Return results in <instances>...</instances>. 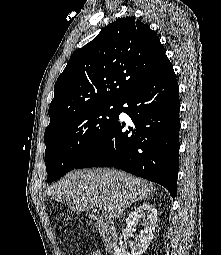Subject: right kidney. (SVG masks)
<instances>
[{
  "label": "right kidney",
  "instance_id": "obj_1",
  "mask_svg": "<svg viewBox=\"0 0 221 255\" xmlns=\"http://www.w3.org/2000/svg\"><path fill=\"white\" fill-rule=\"evenodd\" d=\"M141 222L144 229L135 238L131 254L123 248H117L114 255H142L148 248L151 240L155 236L157 226V210L149 203H143L137 207L126 219V229L128 232H134L136 225Z\"/></svg>",
  "mask_w": 221,
  "mask_h": 255
}]
</instances>
